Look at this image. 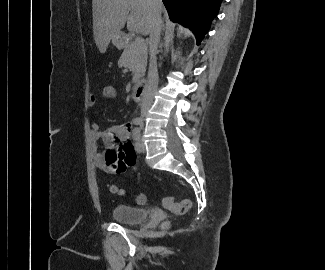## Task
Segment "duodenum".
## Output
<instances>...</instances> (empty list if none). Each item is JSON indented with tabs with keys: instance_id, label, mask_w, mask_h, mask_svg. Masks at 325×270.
Segmentation results:
<instances>
[{
	"instance_id": "duodenum-1",
	"label": "duodenum",
	"mask_w": 325,
	"mask_h": 270,
	"mask_svg": "<svg viewBox=\"0 0 325 270\" xmlns=\"http://www.w3.org/2000/svg\"><path fill=\"white\" fill-rule=\"evenodd\" d=\"M145 90H146V83L144 81L138 82L133 88V93H132L133 100L138 103L142 102L145 95Z\"/></svg>"
}]
</instances>
